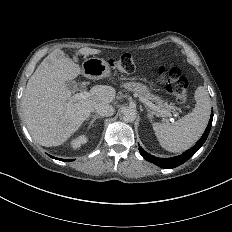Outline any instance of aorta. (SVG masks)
<instances>
[{
    "mask_svg": "<svg viewBox=\"0 0 232 232\" xmlns=\"http://www.w3.org/2000/svg\"><path fill=\"white\" fill-rule=\"evenodd\" d=\"M121 112L125 122H133L137 117L136 109L130 106H124Z\"/></svg>",
    "mask_w": 232,
    "mask_h": 232,
    "instance_id": "aorta-1",
    "label": "aorta"
}]
</instances>
